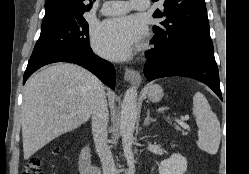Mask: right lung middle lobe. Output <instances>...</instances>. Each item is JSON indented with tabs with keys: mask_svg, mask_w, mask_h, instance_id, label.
<instances>
[{
	"mask_svg": "<svg viewBox=\"0 0 249 174\" xmlns=\"http://www.w3.org/2000/svg\"><path fill=\"white\" fill-rule=\"evenodd\" d=\"M90 48L89 26L84 17L42 26L32 55L50 50H80Z\"/></svg>",
	"mask_w": 249,
	"mask_h": 174,
	"instance_id": "1",
	"label": "right lung middle lobe"
}]
</instances>
